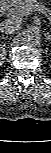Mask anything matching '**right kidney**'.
Segmentation results:
<instances>
[{
	"label": "right kidney",
	"mask_w": 51,
	"mask_h": 153,
	"mask_svg": "<svg viewBox=\"0 0 51 153\" xmlns=\"http://www.w3.org/2000/svg\"><path fill=\"white\" fill-rule=\"evenodd\" d=\"M1 58H3V56H4V51H3V49H2V47H1Z\"/></svg>",
	"instance_id": "right-kidney-1"
}]
</instances>
